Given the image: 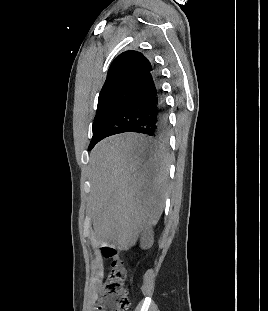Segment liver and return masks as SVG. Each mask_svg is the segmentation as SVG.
<instances>
[{"label": "liver", "mask_w": 268, "mask_h": 311, "mask_svg": "<svg viewBox=\"0 0 268 311\" xmlns=\"http://www.w3.org/2000/svg\"><path fill=\"white\" fill-rule=\"evenodd\" d=\"M168 175V155L144 136L119 134L100 141L88 167L93 246L125 251L134 246L163 212Z\"/></svg>", "instance_id": "6515ba94"}]
</instances>
